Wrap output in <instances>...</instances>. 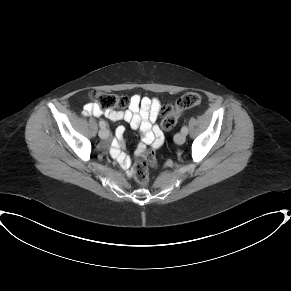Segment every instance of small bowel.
I'll return each instance as SVG.
<instances>
[{"mask_svg":"<svg viewBox=\"0 0 291 291\" xmlns=\"http://www.w3.org/2000/svg\"><path fill=\"white\" fill-rule=\"evenodd\" d=\"M161 103L157 98L142 97L138 94L130 98L129 106L125 110L109 109L101 111L95 104H86L83 109L85 115H105L111 121L123 120L127 122L131 128L139 130L142 135L143 144L139 145L142 149L145 145H151L155 139H162V131L156 124V120L160 113ZM118 135L112 142V153L119 155L117 150L120 145L121 135L124 127L118 128ZM119 162L126 170L127 176L133 175L130 170V159L127 156L119 155Z\"/></svg>","mask_w":291,"mask_h":291,"instance_id":"obj_1","label":"small bowel"}]
</instances>
